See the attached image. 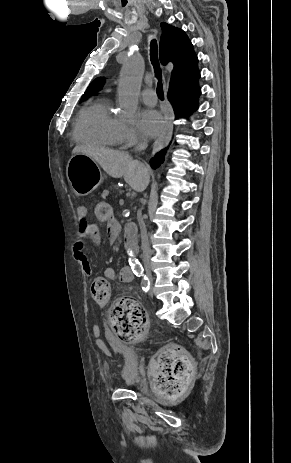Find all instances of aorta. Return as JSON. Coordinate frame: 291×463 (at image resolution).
<instances>
[{"label": "aorta", "mask_w": 291, "mask_h": 463, "mask_svg": "<svg viewBox=\"0 0 291 463\" xmlns=\"http://www.w3.org/2000/svg\"><path fill=\"white\" fill-rule=\"evenodd\" d=\"M144 73V61L137 54L130 55L124 63L118 84L119 107L124 119L133 118L138 105V97ZM130 266L137 275L143 274V268L130 254Z\"/></svg>", "instance_id": "1"}]
</instances>
